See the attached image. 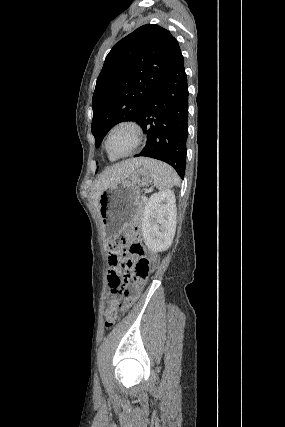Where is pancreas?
<instances>
[{
	"mask_svg": "<svg viewBox=\"0 0 285 427\" xmlns=\"http://www.w3.org/2000/svg\"><path fill=\"white\" fill-rule=\"evenodd\" d=\"M146 203H147V201H144V200H141L140 202H139V206H138V218L137 219H140V215H142V213H143V211H144V208H145V205H146Z\"/></svg>",
	"mask_w": 285,
	"mask_h": 427,
	"instance_id": "cf45deb5",
	"label": "pancreas"
}]
</instances>
